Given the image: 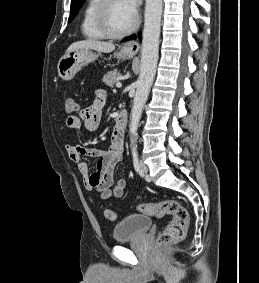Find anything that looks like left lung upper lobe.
<instances>
[{
  "instance_id": "1",
  "label": "left lung upper lobe",
  "mask_w": 259,
  "mask_h": 283,
  "mask_svg": "<svg viewBox=\"0 0 259 283\" xmlns=\"http://www.w3.org/2000/svg\"><path fill=\"white\" fill-rule=\"evenodd\" d=\"M85 0H72L71 1V9H70V17H69V22L76 16L78 10L80 7L83 5Z\"/></svg>"
}]
</instances>
